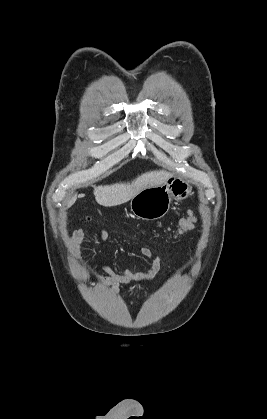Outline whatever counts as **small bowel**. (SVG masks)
<instances>
[{
	"label": "small bowel",
	"mask_w": 267,
	"mask_h": 419,
	"mask_svg": "<svg viewBox=\"0 0 267 419\" xmlns=\"http://www.w3.org/2000/svg\"><path fill=\"white\" fill-rule=\"evenodd\" d=\"M90 218L87 217L86 221ZM109 238V233L106 230L101 231L99 239L106 241ZM84 239V229L79 228L72 232L69 240L70 248L74 256L78 255L79 247ZM140 253L143 258L149 261L147 269L129 268L123 272H117L111 267L105 265L102 273L91 274L90 277L101 284L110 286L112 293H118L121 285L129 284L131 282H146L153 279L156 275L162 272V262L160 257L155 256L152 258V252L147 247H142Z\"/></svg>",
	"instance_id": "c3829d8e"
}]
</instances>
